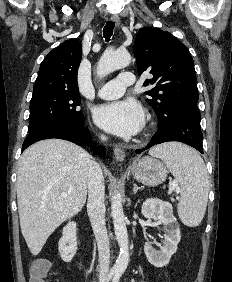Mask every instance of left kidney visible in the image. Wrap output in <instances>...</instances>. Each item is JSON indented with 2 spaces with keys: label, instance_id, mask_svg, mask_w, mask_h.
Segmentation results:
<instances>
[{
  "label": "left kidney",
  "instance_id": "left-kidney-1",
  "mask_svg": "<svg viewBox=\"0 0 232 282\" xmlns=\"http://www.w3.org/2000/svg\"><path fill=\"white\" fill-rule=\"evenodd\" d=\"M142 215L165 226L164 241L160 251L155 250L151 242H146L144 252L148 261L155 267L166 266L171 256L176 252L181 239L179 225L173 215V207L167 201L150 198L142 205Z\"/></svg>",
  "mask_w": 232,
  "mask_h": 282
}]
</instances>
